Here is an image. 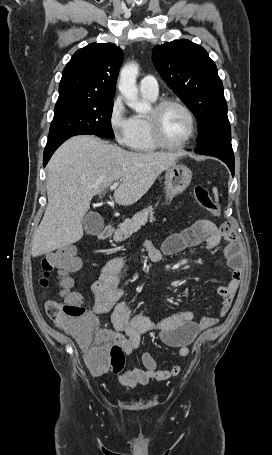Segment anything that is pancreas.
Here are the masks:
<instances>
[{
	"mask_svg": "<svg viewBox=\"0 0 272 455\" xmlns=\"http://www.w3.org/2000/svg\"><path fill=\"white\" fill-rule=\"evenodd\" d=\"M153 208L149 207L141 212L136 213L132 219H126L123 223L119 224L118 229L115 231L113 239L115 242H121L129 238L133 233L137 232L141 226H144L148 219L150 222L155 221L153 217Z\"/></svg>",
	"mask_w": 272,
	"mask_h": 455,
	"instance_id": "pancreas-1",
	"label": "pancreas"
}]
</instances>
